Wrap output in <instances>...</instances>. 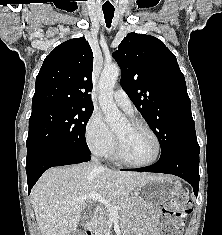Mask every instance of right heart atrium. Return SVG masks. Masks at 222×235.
<instances>
[{
    "label": "right heart atrium",
    "mask_w": 222,
    "mask_h": 235,
    "mask_svg": "<svg viewBox=\"0 0 222 235\" xmlns=\"http://www.w3.org/2000/svg\"><path fill=\"white\" fill-rule=\"evenodd\" d=\"M85 139L90 150L98 156H106L114 149V134L97 111L91 114L86 124Z\"/></svg>",
    "instance_id": "1"
}]
</instances>
